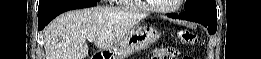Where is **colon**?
I'll return each instance as SVG.
<instances>
[{
	"mask_svg": "<svg viewBox=\"0 0 261 59\" xmlns=\"http://www.w3.org/2000/svg\"><path fill=\"white\" fill-rule=\"evenodd\" d=\"M179 41L182 44L194 45L197 42V36L195 33L181 29L178 32ZM151 59H175L177 58V50L172 47H162L154 50L151 55ZM183 59H189L190 57H182Z\"/></svg>",
	"mask_w": 261,
	"mask_h": 59,
	"instance_id": "obj_1",
	"label": "colon"
}]
</instances>
